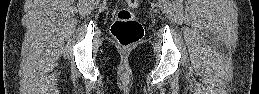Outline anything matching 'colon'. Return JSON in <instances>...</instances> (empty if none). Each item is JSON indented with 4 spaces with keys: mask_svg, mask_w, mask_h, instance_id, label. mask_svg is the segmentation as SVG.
I'll return each mask as SVG.
<instances>
[{
    "mask_svg": "<svg viewBox=\"0 0 259 94\" xmlns=\"http://www.w3.org/2000/svg\"><path fill=\"white\" fill-rule=\"evenodd\" d=\"M139 5V0H126V7L121 8L111 26L114 39L122 47H131L143 37V27L133 12Z\"/></svg>",
    "mask_w": 259,
    "mask_h": 94,
    "instance_id": "obj_1",
    "label": "colon"
}]
</instances>
